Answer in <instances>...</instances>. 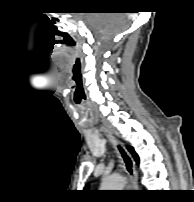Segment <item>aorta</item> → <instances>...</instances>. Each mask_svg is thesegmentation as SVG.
Segmentation results:
<instances>
[{
    "instance_id": "1",
    "label": "aorta",
    "mask_w": 194,
    "mask_h": 202,
    "mask_svg": "<svg viewBox=\"0 0 194 202\" xmlns=\"http://www.w3.org/2000/svg\"><path fill=\"white\" fill-rule=\"evenodd\" d=\"M125 180L122 176L111 175L102 179L101 188L102 190H123Z\"/></svg>"
}]
</instances>
